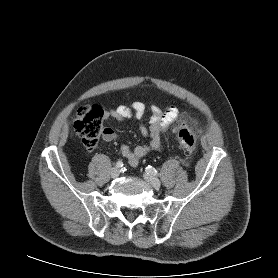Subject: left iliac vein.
Instances as JSON below:
<instances>
[{
    "label": "left iliac vein",
    "instance_id": "left-iliac-vein-1",
    "mask_svg": "<svg viewBox=\"0 0 278 278\" xmlns=\"http://www.w3.org/2000/svg\"><path fill=\"white\" fill-rule=\"evenodd\" d=\"M144 179L146 182H148L149 184H151L154 188L158 189L160 188L161 186V183L159 181V179H157L156 177L148 174V173H145L143 175Z\"/></svg>",
    "mask_w": 278,
    "mask_h": 278
}]
</instances>
